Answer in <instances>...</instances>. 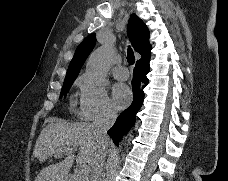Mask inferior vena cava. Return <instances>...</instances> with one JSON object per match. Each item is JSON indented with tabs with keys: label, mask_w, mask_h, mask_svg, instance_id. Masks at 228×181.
<instances>
[{
	"label": "inferior vena cava",
	"mask_w": 228,
	"mask_h": 181,
	"mask_svg": "<svg viewBox=\"0 0 228 181\" xmlns=\"http://www.w3.org/2000/svg\"><path fill=\"white\" fill-rule=\"evenodd\" d=\"M117 119L116 111H113L111 107H106L104 111L99 113L97 119L93 123L94 131L98 135V139H107V131L113 127ZM107 157V149L103 147L102 151H99L98 155L94 157L91 163V181H103V167L105 165V159Z\"/></svg>",
	"instance_id": "1"
}]
</instances>
